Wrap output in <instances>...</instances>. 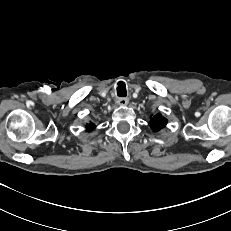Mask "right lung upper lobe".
I'll list each match as a JSON object with an SVG mask.
<instances>
[{"mask_svg": "<svg viewBox=\"0 0 231 231\" xmlns=\"http://www.w3.org/2000/svg\"><path fill=\"white\" fill-rule=\"evenodd\" d=\"M86 129L87 131H92V129H94L95 125L94 123L90 122L89 124H86Z\"/></svg>", "mask_w": 231, "mask_h": 231, "instance_id": "cb5924a9", "label": "right lung upper lobe"}]
</instances>
